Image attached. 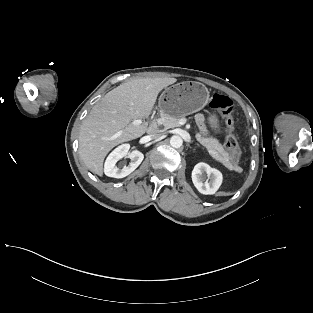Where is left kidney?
Wrapping results in <instances>:
<instances>
[{
	"label": "left kidney",
	"mask_w": 313,
	"mask_h": 313,
	"mask_svg": "<svg viewBox=\"0 0 313 313\" xmlns=\"http://www.w3.org/2000/svg\"><path fill=\"white\" fill-rule=\"evenodd\" d=\"M192 181L200 193L215 194L222 183V173L208 164L200 162L194 166Z\"/></svg>",
	"instance_id": "left-kidney-1"
}]
</instances>
